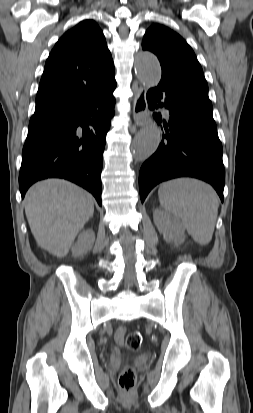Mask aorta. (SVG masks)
<instances>
[{"mask_svg": "<svg viewBox=\"0 0 253 413\" xmlns=\"http://www.w3.org/2000/svg\"><path fill=\"white\" fill-rule=\"evenodd\" d=\"M135 73L140 82L148 87L157 86L161 79V68L156 56L148 51L138 53ZM161 134L154 123L146 125L135 137L132 150L138 161L148 159L158 148Z\"/></svg>", "mask_w": 253, "mask_h": 413, "instance_id": "1", "label": "aorta"}]
</instances>
